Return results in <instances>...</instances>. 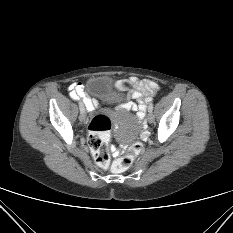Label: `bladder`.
Returning a JSON list of instances; mask_svg holds the SVG:
<instances>
[{"label":"bladder","mask_w":233,"mask_h":233,"mask_svg":"<svg viewBox=\"0 0 233 233\" xmlns=\"http://www.w3.org/2000/svg\"><path fill=\"white\" fill-rule=\"evenodd\" d=\"M86 89L89 94L109 102H118L125 98L123 90L117 87L111 78L104 75L89 78Z\"/></svg>","instance_id":"31cf9c89"}]
</instances>
